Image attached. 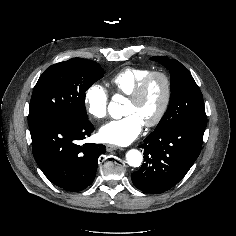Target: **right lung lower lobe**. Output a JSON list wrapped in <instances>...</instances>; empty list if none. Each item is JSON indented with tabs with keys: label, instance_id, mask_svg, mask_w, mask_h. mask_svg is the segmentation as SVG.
<instances>
[{
	"label": "right lung lower lobe",
	"instance_id": "right-lung-lower-lobe-1",
	"mask_svg": "<svg viewBox=\"0 0 236 236\" xmlns=\"http://www.w3.org/2000/svg\"><path fill=\"white\" fill-rule=\"evenodd\" d=\"M34 158L45 176L56 186L77 192L94 180L98 158L105 146L77 145L94 131L88 119L38 115L29 117Z\"/></svg>",
	"mask_w": 236,
	"mask_h": 236
}]
</instances>
